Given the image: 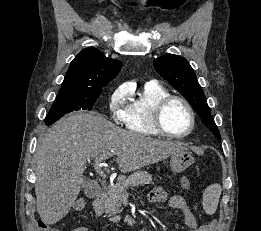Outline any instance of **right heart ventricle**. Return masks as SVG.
Masks as SVG:
<instances>
[{
  "label": "right heart ventricle",
  "instance_id": "right-heart-ventricle-1",
  "mask_svg": "<svg viewBox=\"0 0 261 231\" xmlns=\"http://www.w3.org/2000/svg\"><path fill=\"white\" fill-rule=\"evenodd\" d=\"M168 95L169 91L163 86L146 84L126 105L123 121L126 129L143 136H160L161 133L154 125V110L157 103Z\"/></svg>",
  "mask_w": 261,
  "mask_h": 231
}]
</instances>
